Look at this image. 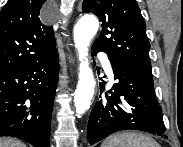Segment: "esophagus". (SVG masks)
Segmentation results:
<instances>
[{
  "label": "esophagus",
  "instance_id": "34e87169",
  "mask_svg": "<svg viewBox=\"0 0 183 147\" xmlns=\"http://www.w3.org/2000/svg\"><path fill=\"white\" fill-rule=\"evenodd\" d=\"M70 62H72L73 60L71 58H69Z\"/></svg>",
  "mask_w": 183,
  "mask_h": 147
}]
</instances>
